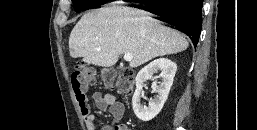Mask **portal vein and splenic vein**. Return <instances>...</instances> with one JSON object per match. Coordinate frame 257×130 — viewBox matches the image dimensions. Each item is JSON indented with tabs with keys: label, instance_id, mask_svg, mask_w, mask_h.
Masks as SVG:
<instances>
[{
	"label": "portal vein and splenic vein",
	"instance_id": "portal-vein-and-splenic-vein-1",
	"mask_svg": "<svg viewBox=\"0 0 257 130\" xmlns=\"http://www.w3.org/2000/svg\"><path fill=\"white\" fill-rule=\"evenodd\" d=\"M98 50H99V49H98ZM124 60L130 62V61L132 60V55H131V54H125V55H124Z\"/></svg>",
	"mask_w": 257,
	"mask_h": 130
}]
</instances>
